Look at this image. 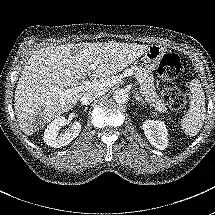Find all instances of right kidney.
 <instances>
[{
    "label": "right kidney",
    "instance_id": "right-kidney-1",
    "mask_svg": "<svg viewBox=\"0 0 215 215\" xmlns=\"http://www.w3.org/2000/svg\"><path fill=\"white\" fill-rule=\"evenodd\" d=\"M68 125L69 128L64 133H60V130ZM81 127L79 120H74L70 123L65 117L56 118L47 126L44 141L51 147H64L79 135Z\"/></svg>",
    "mask_w": 215,
    "mask_h": 215
}]
</instances>
